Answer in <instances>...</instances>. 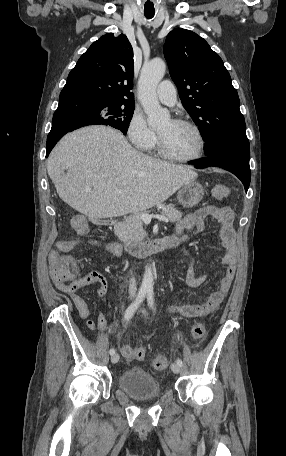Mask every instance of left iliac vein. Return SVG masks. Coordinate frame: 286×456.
I'll use <instances>...</instances> for the list:
<instances>
[{"label":"left iliac vein","instance_id":"1","mask_svg":"<svg viewBox=\"0 0 286 456\" xmlns=\"http://www.w3.org/2000/svg\"><path fill=\"white\" fill-rule=\"evenodd\" d=\"M142 312H143L144 314H146V312H145L144 310H142ZM171 370L173 371V373L178 374V373H180V371H181V366L178 365L177 363H173V364L171 365Z\"/></svg>","mask_w":286,"mask_h":456}]
</instances>
